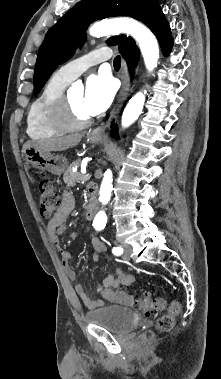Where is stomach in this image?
<instances>
[{
	"instance_id": "1",
	"label": "stomach",
	"mask_w": 221,
	"mask_h": 379,
	"mask_svg": "<svg viewBox=\"0 0 221 379\" xmlns=\"http://www.w3.org/2000/svg\"><path fill=\"white\" fill-rule=\"evenodd\" d=\"M88 140L91 143H99L102 138L90 135L88 136ZM25 157L27 163L32 167L46 170L55 175H61L68 165L66 158L34 147H30L25 150Z\"/></svg>"
}]
</instances>
